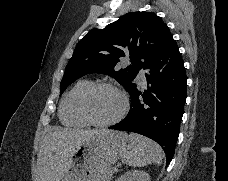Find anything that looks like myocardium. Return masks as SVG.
Returning <instances> with one entry per match:
<instances>
[{
    "label": "myocardium",
    "instance_id": "obj_1",
    "mask_svg": "<svg viewBox=\"0 0 228 181\" xmlns=\"http://www.w3.org/2000/svg\"><path fill=\"white\" fill-rule=\"evenodd\" d=\"M99 87H108V88L114 89L120 95L121 100H122V106H121L120 111L115 116H113L109 119H106V120H101V121L91 118L85 107V99H86V96L88 95V93ZM128 106H129V102H128V98H127L126 94L114 83L107 82V81H99V82L91 83L81 93V95L78 98V102H77V109H78V112H79V115L81 116V118L84 119L87 123H89L91 125H95V126H109V125H112V124L118 122L126 114V112L128 110Z\"/></svg>",
    "mask_w": 228,
    "mask_h": 181
}]
</instances>
